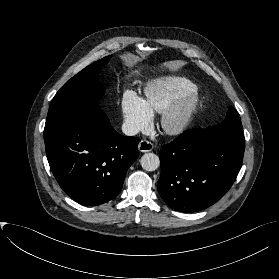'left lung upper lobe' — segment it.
<instances>
[{"mask_svg":"<svg viewBox=\"0 0 279 279\" xmlns=\"http://www.w3.org/2000/svg\"><path fill=\"white\" fill-rule=\"evenodd\" d=\"M210 130H223L232 133L233 135L244 138L243 127L238 112L230 107L224 121L218 125L208 127Z\"/></svg>","mask_w":279,"mask_h":279,"instance_id":"obj_1","label":"left lung upper lobe"}]
</instances>
